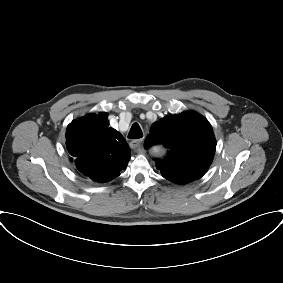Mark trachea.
<instances>
[{
    "instance_id": "1",
    "label": "trachea",
    "mask_w": 283,
    "mask_h": 283,
    "mask_svg": "<svg viewBox=\"0 0 283 283\" xmlns=\"http://www.w3.org/2000/svg\"><path fill=\"white\" fill-rule=\"evenodd\" d=\"M143 137L142 130L137 123H134L129 131L128 138L139 139Z\"/></svg>"
}]
</instances>
